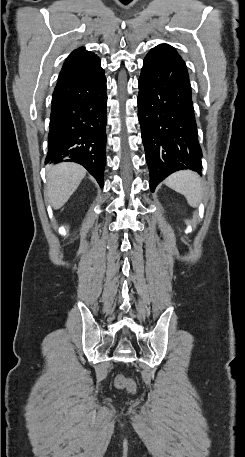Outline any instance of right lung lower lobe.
<instances>
[{"instance_id":"1","label":"right lung lower lobe","mask_w":245,"mask_h":457,"mask_svg":"<svg viewBox=\"0 0 245 457\" xmlns=\"http://www.w3.org/2000/svg\"><path fill=\"white\" fill-rule=\"evenodd\" d=\"M106 107V78L102 68L58 81L52 97L45 164L79 163L102 187Z\"/></svg>"}]
</instances>
